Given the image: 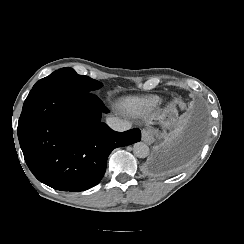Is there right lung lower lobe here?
<instances>
[{"label":"right lung lower lobe","instance_id":"right-lung-lower-lobe-1","mask_svg":"<svg viewBox=\"0 0 244 244\" xmlns=\"http://www.w3.org/2000/svg\"><path fill=\"white\" fill-rule=\"evenodd\" d=\"M108 112L91 92L68 87L31 90L18 122L24 159L42 183L84 191L100 182L116 147L141 140L138 128L115 132L101 122Z\"/></svg>","mask_w":244,"mask_h":244}]
</instances>
